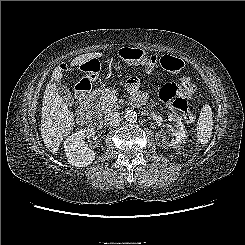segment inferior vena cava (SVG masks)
I'll use <instances>...</instances> for the list:
<instances>
[{
    "label": "inferior vena cava",
    "instance_id": "obj_1",
    "mask_svg": "<svg viewBox=\"0 0 245 245\" xmlns=\"http://www.w3.org/2000/svg\"><path fill=\"white\" fill-rule=\"evenodd\" d=\"M119 113L118 112H109L104 117V124L106 126H117L119 124Z\"/></svg>",
    "mask_w": 245,
    "mask_h": 245
}]
</instances>
